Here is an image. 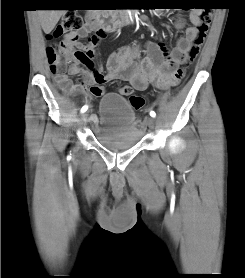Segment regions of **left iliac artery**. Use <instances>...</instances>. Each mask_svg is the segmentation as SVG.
<instances>
[{
	"label": "left iliac artery",
	"instance_id": "44dca946",
	"mask_svg": "<svg viewBox=\"0 0 245 278\" xmlns=\"http://www.w3.org/2000/svg\"><path fill=\"white\" fill-rule=\"evenodd\" d=\"M150 116L151 117H155L156 116V113L154 111H150Z\"/></svg>",
	"mask_w": 245,
	"mask_h": 278
}]
</instances>
